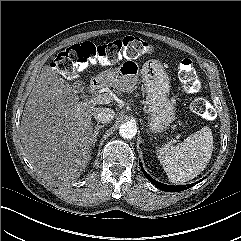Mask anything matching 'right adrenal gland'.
I'll list each match as a JSON object with an SVG mask.
<instances>
[{"instance_id":"obj_1","label":"right adrenal gland","mask_w":241,"mask_h":241,"mask_svg":"<svg viewBox=\"0 0 241 241\" xmlns=\"http://www.w3.org/2000/svg\"><path fill=\"white\" fill-rule=\"evenodd\" d=\"M103 127H104V124L103 125L97 124V125L94 126V130H93L94 131V133H93V146H95V143L97 141V136L99 134V130L101 128H103Z\"/></svg>"}]
</instances>
